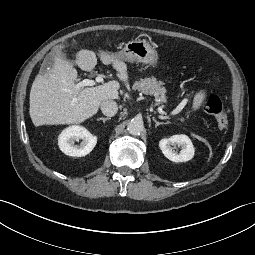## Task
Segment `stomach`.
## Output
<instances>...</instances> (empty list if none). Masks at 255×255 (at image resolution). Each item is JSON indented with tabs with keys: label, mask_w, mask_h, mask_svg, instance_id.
Masks as SVG:
<instances>
[{
	"label": "stomach",
	"mask_w": 255,
	"mask_h": 255,
	"mask_svg": "<svg viewBox=\"0 0 255 255\" xmlns=\"http://www.w3.org/2000/svg\"><path fill=\"white\" fill-rule=\"evenodd\" d=\"M117 55L127 62H140L150 65H156L158 62L157 51L144 39L129 41Z\"/></svg>",
	"instance_id": "obj_1"
}]
</instances>
